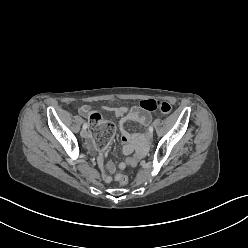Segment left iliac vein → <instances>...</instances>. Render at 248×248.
<instances>
[{
  "instance_id": "left-iliac-vein-1",
  "label": "left iliac vein",
  "mask_w": 248,
  "mask_h": 248,
  "mask_svg": "<svg viewBox=\"0 0 248 248\" xmlns=\"http://www.w3.org/2000/svg\"><path fill=\"white\" fill-rule=\"evenodd\" d=\"M152 137H153V132H150V131H149V132L147 133V138H148V139H152Z\"/></svg>"
}]
</instances>
